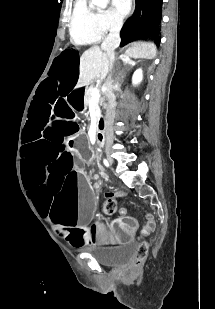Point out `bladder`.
I'll use <instances>...</instances> for the list:
<instances>
[{"mask_svg":"<svg viewBox=\"0 0 215 309\" xmlns=\"http://www.w3.org/2000/svg\"><path fill=\"white\" fill-rule=\"evenodd\" d=\"M135 254V246L133 244H128L115 251L97 255L95 258L102 265L108 267H121L130 263L135 257Z\"/></svg>","mask_w":215,"mask_h":309,"instance_id":"31cf9c89","label":"bladder"}]
</instances>
